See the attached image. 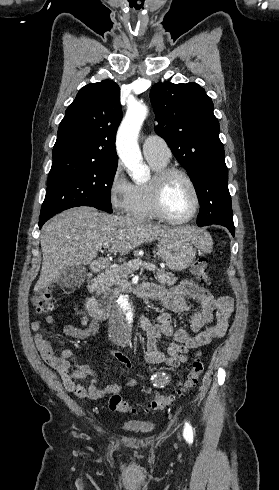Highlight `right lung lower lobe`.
<instances>
[{
    "label": "right lung lower lobe",
    "mask_w": 279,
    "mask_h": 490,
    "mask_svg": "<svg viewBox=\"0 0 279 490\" xmlns=\"http://www.w3.org/2000/svg\"><path fill=\"white\" fill-rule=\"evenodd\" d=\"M46 221H47V220H45V219H44V220H39V228H41V227H42V225H43V224H44Z\"/></svg>",
    "instance_id": "right-lung-lower-lobe-1"
}]
</instances>
